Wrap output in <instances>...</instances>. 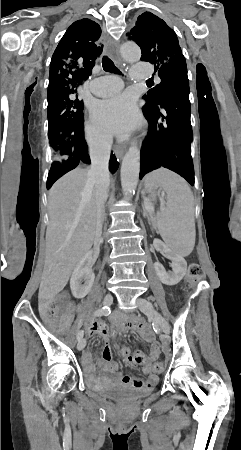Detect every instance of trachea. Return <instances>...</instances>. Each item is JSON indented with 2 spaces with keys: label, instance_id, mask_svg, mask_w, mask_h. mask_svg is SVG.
I'll return each mask as SVG.
<instances>
[{
  "label": "trachea",
  "instance_id": "trachea-1",
  "mask_svg": "<svg viewBox=\"0 0 241 450\" xmlns=\"http://www.w3.org/2000/svg\"><path fill=\"white\" fill-rule=\"evenodd\" d=\"M102 66H103V70L105 72L120 74V71L118 70V68L114 65L112 60L107 56L103 57Z\"/></svg>",
  "mask_w": 241,
  "mask_h": 450
}]
</instances>
